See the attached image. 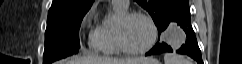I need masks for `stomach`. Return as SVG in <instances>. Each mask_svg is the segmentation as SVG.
I'll return each mask as SVG.
<instances>
[{
  "mask_svg": "<svg viewBox=\"0 0 242 64\" xmlns=\"http://www.w3.org/2000/svg\"><path fill=\"white\" fill-rule=\"evenodd\" d=\"M150 61L147 63H143V64H160L157 60L153 59V58H149Z\"/></svg>",
  "mask_w": 242,
  "mask_h": 64,
  "instance_id": "stomach-1",
  "label": "stomach"
}]
</instances>
